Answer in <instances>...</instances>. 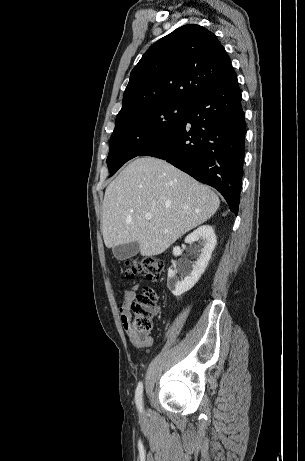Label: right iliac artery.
Masks as SVG:
<instances>
[{
  "label": "right iliac artery",
  "instance_id": "obj_1",
  "mask_svg": "<svg viewBox=\"0 0 305 461\" xmlns=\"http://www.w3.org/2000/svg\"><path fill=\"white\" fill-rule=\"evenodd\" d=\"M142 394H143V384L140 382L136 388L135 392V400H136V405L138 410L141 412L143 409V400H142Z\"/></svg>",
  "mask_w": 305,
  "mask_h": 461
}]
</instances>
